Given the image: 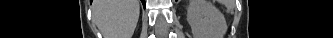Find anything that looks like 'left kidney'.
Instances as JSON below:
<instances>
[{"label": "left kidney", "mask_w": 333, "mask_h": 38, "mask_svg": "<svg viewBox=\"0 0 333 38\" xmlns=\"http://www.w3.org/2000/svg\"><path fill=\"white\" fill-rule=\"evenodd\" d=\"M187 21L194 38H223L227 32L224 15L207 0H190Z\"/></svg>", "instance_id": "1"}]
</instances>
